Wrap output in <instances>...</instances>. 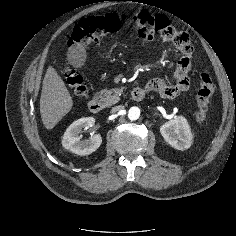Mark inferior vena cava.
I'll return each mask as SVG.
<instances>
[{
  "instance_id": "obj_1",
  "label": "inferior vena cava",
  "mask_w": 236,
  "mask_h": 236,
  "mask_svg": "<svg viewBox=\"0 0 236 236\" xmlns=\"http://www.w3.org/2000/svg\"><path fill=\"white\" fill-rule=\"evenodd\" d=\"M123 108H124L123 106L118 105V106L113 107V108L111 109V112H112V113H116V112L122 110Z\"/></svg>"
}]
</instances>
